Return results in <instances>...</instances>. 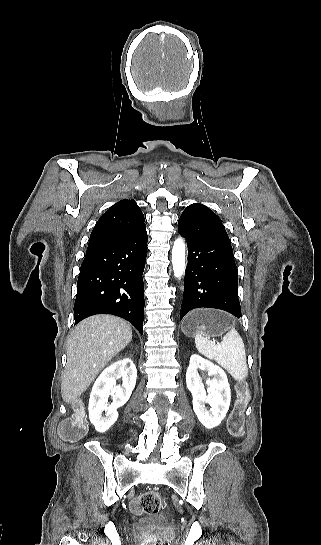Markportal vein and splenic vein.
I'll use <instances>...</instances> for the list:
<instances>
[{"instance_id":"obj_1","label":"portal vein and splenic vein","mask_w":321,"mask_h":545,"mask_svg":"<svg viewBox=\"0 0 321 545\" xmlns=\"http://www.w3.org/2000/svg\"><path fill=\"white\" fill-rule=\"evenodd\" d=\"M212 344H214V345H216V346H217V345H219V344H220V341L216 339V340L212 341Z\"/></svg>"}]
</instances>
